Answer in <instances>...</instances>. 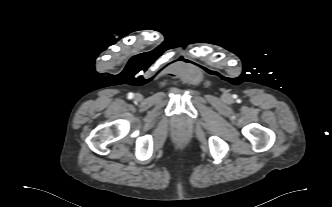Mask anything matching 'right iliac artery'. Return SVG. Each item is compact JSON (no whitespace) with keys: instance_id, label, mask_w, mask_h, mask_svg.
I'll return each instance as SVG.
<instances>
[{"instance_id":"1","label":"right iliac artery","mask_w":332,"mask_h":207,"mask_svg":"<svg viewBox=\"0 0 332 207\" xmlns=\"http://www.w3.org/2000/svg\"><path fill=\"white\" fill-rule=\"evenodd\" d=\"M133 97H134V94L130 92V93L128 94V98H129V99H132Z\"/></svg>"}]
</instances>
